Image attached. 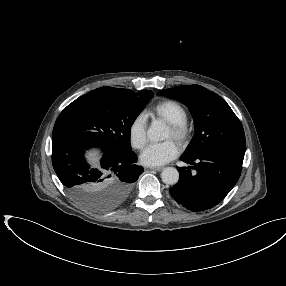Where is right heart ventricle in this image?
<instances>
[{"label":"right heart ventricle","mask_w":286,"mask_h":286,"mask_svg":"<svg viewBox=\"0 0 286 286\" xmlns=\"http://www.w3.org/2000/svg\"><path fill=\"white\" fill-rule=\"evenodd\" d=\"M148 114L168 123H181L188 119L186 109L173 100H165L155 104L149 109Z\"/></svg>","instance_id":"right-heart-ventricle-1"}]
</instances>
